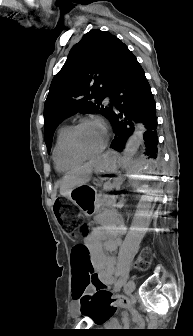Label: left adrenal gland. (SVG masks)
Segmentation results:
<instances>
[{"instance_id":"obj_1","label":"left adrenal gland","mask_w":193,"mask_h":336,"mask_svg":"<svg viewBox=\"0 0 193 336\" xmlns=\"http://www.w3.org/2000/svg\"><path fill=\"white\" fill-rule=\"evenodd\" d=\"M116 182H117V181H116ZM122 182H123V180H122V178H120L119 184H122Z\"/></svg>"}]
</instances>
